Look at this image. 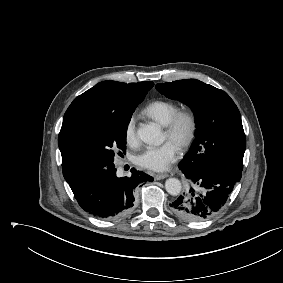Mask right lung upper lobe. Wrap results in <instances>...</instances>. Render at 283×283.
<instances>
[{"label":"right lung upper lobe","instance_id":"obj_1","mask_svg":"<svg viewBox=\"0 0 283 283\" xmlns=\"http://www.w3.org/2000/svg\"><path fill=\"white\" fill-rule=\"evenodd\" d=\"M153 85L150 81L129 84L102 81L74 99L64 115L63 124L77 112L117 111L141 103ZM62 170L68 183L90 171L89 168L74 163L63 155Z\"/></svg>","mask_w":283,"mask_h":283}]
</instances>
